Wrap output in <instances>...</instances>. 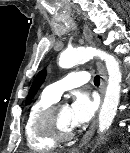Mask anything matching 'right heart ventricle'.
Here are the masks:
<instances>
[{"label":"right heart ventricle","mask_w":130,"mask_h":153,"mask_svg":"<svg viewBox=\"0 0 130 153\" xmlns=\"http://www.w3.org/2000/svg\"><path fill=\"white\" fill-rule=\"evenodd\" d=\"M57 100L45 91L31 106L24 123V137L27 146L37 152H48L57 146V141L44 134L37 127L39 115Z\"/></svg>","instance_id":"right-heart-ventricle-1"}]
</instances>
